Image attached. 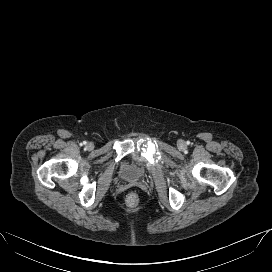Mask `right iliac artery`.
Returning <instances> with one entry per match:
<instances>
[{"instance_id": "obj_1", "label": "right iliac artery", "mask_w": 272, "mask_h": 272, "mask_svg": "<svg viewBox=\"0 0 272 272\" xmlns=\"http://www.w3.org/2000/svg\"><path fill=\"white\" fill-rule=\"evenodd\" d=\"M81 144H82V145H85V144H86V141H83Z\"/></svg>"}]
</instances>
